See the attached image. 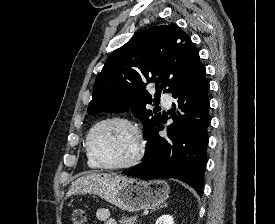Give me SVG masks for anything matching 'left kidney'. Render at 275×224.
<instances>
[{"instance_id": "obj_1", "label": "left kidney", "mask_w": 275, "mask_h": 224, "mask_svg": "<svg viewBox=\"0 0 275 224\" xmlns=\"http://www.w3.org/2000/svg\"><path fill=\"white\" fill-rule=\"evenodd\" d=\"M155 224H174L173 217L170 215H162Z\"/></svg>"}]
</instances>
